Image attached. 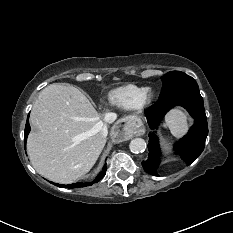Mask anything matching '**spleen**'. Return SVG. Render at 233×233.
<instances>
[{"label": "spleen", "instance_id": "3e777b00", "mask_svg": "<svg viewBox=\"0 0 233 233\" xmlns=\"http://www.w3.org/2000/svg\"><path fill=\"white\" fill-rule=\"evenodd\" d=\"M163 127L168 128L173 136L177 138L182 137L188 130L185 113L180 109L171 110L165 118Z\"/></svg>", "mask_w": 233, "mask_h": 233}]
</instances>
